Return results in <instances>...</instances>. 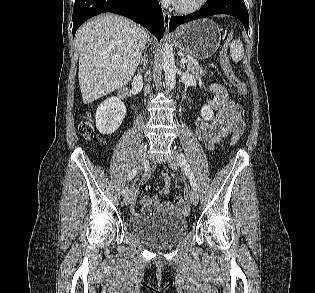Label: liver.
Returning <instances> with one entry per match:
<instances>
[{
    "label": "liver",
    "mask_w": 315,
    "mask_h": 293,
    "mask_svg": "<svg viewBox=\"0 0 315 293\" xmlns=\"http://www.w3.org/2000/svg\"><path fill=\"white\" fill-rule=\"evenodd\" d=\"M148 38L133 21L103 14L76 33L79 85L84 104L121 89L133 77Z\"/></svg>",
    "instance_id": "6515ba94"
}]
</instances>
